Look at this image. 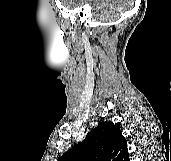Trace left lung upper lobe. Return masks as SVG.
Wrapping results in <instances>:
<instances>
[{
    "label": "left lung upper lobe",
    "instance_id": "1",
    "mask_svg": "<svg viewBox=\"0 0 171 161\" xmlns=\"http://www.w3.org/2000/svg\"><path fill=\"white\" fill-rule=\"evenodd\" d=\"M59 161H129L127 141L118 124L102 122Z\"/></svg>",
    "mask_w": 171,
    "mask_h": 161
}]
</instances>
